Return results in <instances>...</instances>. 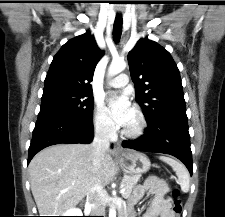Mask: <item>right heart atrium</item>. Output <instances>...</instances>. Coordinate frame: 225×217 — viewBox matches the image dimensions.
<instances>
[{"label":"right heart atrium","mask_w":225,"mask_h":217,"mask_svg":"<svg viewBox=\"0 0 225 217\" xmlns=\"http://www.w3.org/2000/svg\"><path fill=\"white\" fill-rule=\"evenodd\" d=\"M93 123L95 130L101 135L110 136L114 132V124L100 103L95 106Z\"/></svg>","instance_id":"1"}]
</instances>
